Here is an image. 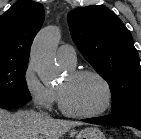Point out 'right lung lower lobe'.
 <instances>
[{"label":"right lung lower lobe","instance_id":"right-lung-lower-lobe-1","mask_svg":"<svg viewBox=\"0 0 141 139\" xmlns=\"http://www.w3.org/2000/svg\"><path fill=\"white\" fill-rule=\"evenodd\" d=\"M26 101L0 102V108L14 109L25 105Z\"/></svg>","mask_w":141,"mask_h":139}]
</instances>
